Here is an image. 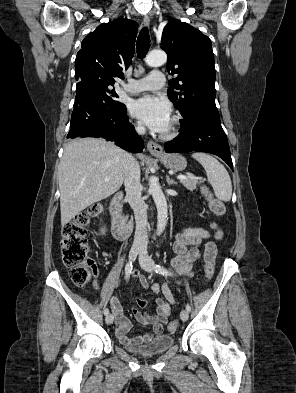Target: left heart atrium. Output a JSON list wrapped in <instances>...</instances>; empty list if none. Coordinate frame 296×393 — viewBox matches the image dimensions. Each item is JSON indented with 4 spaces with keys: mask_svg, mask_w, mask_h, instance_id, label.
Wrapping results in <instances>:
<instances>
[{
    "mask_svg": "<svg viewBox=\"0 0 296 393\" xmlns=\"http://www.w3.org/2000/svg\"><path fill=\"white\" fill-rule=\"evenodd\" d=\"M130 113L156 132H164L171 121L169 103L151 95L134 100L130 105Z\"/></svg>",
    "mask_w": 296,
    "mask_h": 393,
    "instance_id": "39dd6f15",
    "label": "left heart atrium"
}]
</instances>
